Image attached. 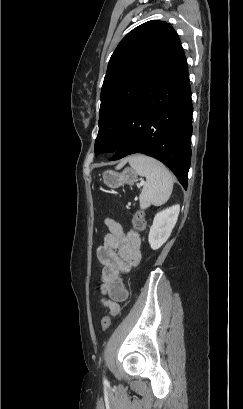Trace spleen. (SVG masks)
Wrapping results in <instances>:
<instances>
[{
	"label": "spleen",
	"mask_w": 243,
	"mask_h": 409,
	"mask_svg": "<svg viewBox=\"0 0 243 409\" xmlns=\"http://www.w3.org/2000/svg\"><path fill=\"white\" fill-rule=\"evenodd\" d=\"M128 161L136 174L146 177L139 195L140 208L167 202L173 190V178L169 170L159 161L145 155H133Z\"/></svg>",
	"instance_id": "spleen-1"
}]
</instances>
